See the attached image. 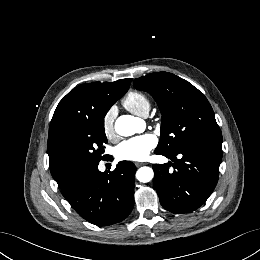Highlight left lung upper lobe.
<instances>
[{
	"instance_id": "1",
	"label": "left lung upper lobe",
	"mask_w": 260,
	"mask_h": 260,
	"mask_svg": "<svg viewBox=\"0 0 260 260\" xmlns=\"http://www.w3.org/2000/svg\"><path fill=\"white\" fill-rule=\"evenodd\" d=\"M134 86L151 94L160 108L161 137L156 152L174 153L200 143L222 144L211 105L188 81L157 72L135 79Z\"/></svg>"
}]
</instances>
